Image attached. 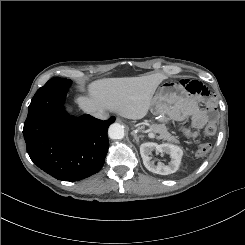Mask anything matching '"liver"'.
Masks as SVG:
<instances>
[{"instance_id": "obj_1", "label": "liver", "mask_w": 245, "mask_h": 245, "mask_svg": "<svg viewBox=\"0 0 245 245\" xmlns=\"http://www.w3.org/2000/svg\"><path fill=\"white\" fill-rule=\"evenodd\" d=\"M165 79L161 73L141 77L108 78L89 85V97L77 99L87 113L109 110L127 119H142L147 115L152 97Z\"/></svg>"}]
</instances>
